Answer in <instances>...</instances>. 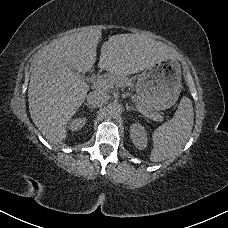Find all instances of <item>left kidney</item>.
<instances>
[{
    "instance_id": "obj_1",
    "label": "left kidney",
    "mask_w": 228,
    "mask_h": 228,
    "mask_svg": "<svg viewBox=\"0 0 228 228\" xmlns=\"http://www.w3.org/2000/svg\"><path fill=\"white\" fill-rule=\"evenodd\" d=\"M130 138L133 144L139 150H144L147 147V142H148L147 132L141 124L139 123L131 124Z\"/></svg>"
}]
</instances>
